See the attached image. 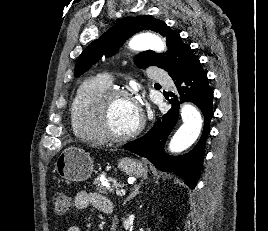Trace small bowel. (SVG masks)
<instances>
[{"label": "small bowel", "instance_id": "small-bowel-1", "mask_svg": "<svg viewBox=\"0 0 268 231\" xmlns=\"http://www.w3.org/2000/svg\"><path fill=\"white\" fill-rule=\"evenodd\" d=\"M73 206L77 210L94 208L105 214H111L113 212L112 202L106 196L98 192H78L74 197ZM67 231H81V229L79 226H71Z\"/></svg>", "mask_w": 268, "mask_h": 231}]
</instances>
